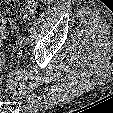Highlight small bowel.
Segmentation results:
<instances>
[{
  "instance_id": "obj_1",
  "label": "small bowel",
  "mask_w": 113,
  "mask_h": 113,
  "mask_svg": "<svg viewBox=\"0 0 113 113\" xmlns=\"http://www.w3.org/2000/svg\"><path fill=\"white\" fill-rule=\"evenodd\" d=\"M6 18L4 13L0 10V45L3 39V31H4V26H5Z\"/></svg>"
}]
</instances>
